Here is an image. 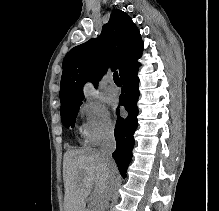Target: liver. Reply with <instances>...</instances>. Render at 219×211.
<instances>
[{
    "label": "liver",
    "instance_id": "1",
    "mask_svg": "<svg viewBox=\"0 0 219 211\" xmlns=\"http://www.w3.org/2000/svg\"><path fill=\"white\" fill-rule=\"evenodd\" d=\"M117 173L114 163L103 159L97 149H68L63 159L65 211H88L86 199L93 185L96 207H108Z\"/></svg>",
    "mask_w": 219,
    "mask_h": 211
}]
</instances>
